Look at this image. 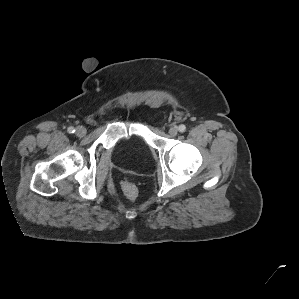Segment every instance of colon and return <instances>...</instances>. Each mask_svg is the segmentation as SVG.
<instances>
[{"mask_svg":"<svg viewBox=\"0 0 299 299\" xmlns=\"http://www.w3.org/2000/svg\"><path fill=\"white\" fill-rule=\"evenodd\" d=\"M121 189L124 193V195L129 200H135L137 197V188L135 184L131 181H123L121 184Z\"/></svg>","mask_w":299,"mask_h":299,"instance_id":"obj_1","label":"colon"}]
</instances>
